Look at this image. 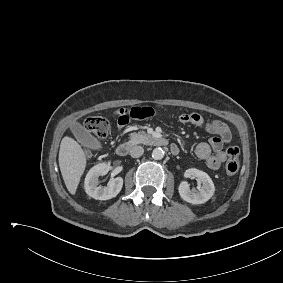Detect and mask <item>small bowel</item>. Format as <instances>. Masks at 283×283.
Returning a JSON list of instances; mask_svg holds the SVG:
<instances>
[{"label": "small bowel", "instance_id": "small-bowel-1", "mask_svg": "<svg viewBox=\"0 0 283 283\" xmlns=\"http://www.w3.org/2000/svg\"><path fill=\"white\" fill-rule=\"evenodd\" d=\"M155 115V110L151 107H132L117 111V125L119 131L123 130L131 119H145ZM178 119L183 124H191L195 127L203 128L211 134L208 142L199 143L195 148L196 156L206 162L210 170H217L226 161V153L223 151L224 145L231 139V131L227 124L220 120L206 122L198 113H181Z\"/></svg>", "mask_w": 283, "mask_h": 283}]
</instances>
